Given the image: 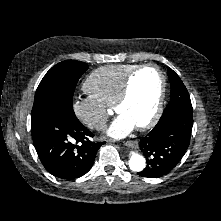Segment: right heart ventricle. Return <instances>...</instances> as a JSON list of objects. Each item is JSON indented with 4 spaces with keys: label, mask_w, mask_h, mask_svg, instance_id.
I'll return each instance as SVG.
<instances>
[{
    "label": "right heart ventricle",
    "mask_w": 221,
    "mask_h": 221,
    "mask_svg": "<svg viewBox=\"0 0 221 221\" xmlns=\"http://www.w3.org/2000/svg\"><path fill=\"white\" fill-rule=\"evenodd\" d=\"M137 64L106 65L94 70L83 84L84 92L104 105H114L125 79Z\"/></svg>",
    "instance_id": "right-heart-ventricle-1"
}]
</instances>
